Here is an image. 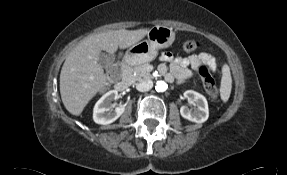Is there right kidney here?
<instances>
[{"mask_svg":"<svg viewBox=\"0 0 287 175\" xmlns=\"http://www.w3.org/2000/svg\"><path fill=\"white\" fill-rule=\"evenodd\" d=\"M118 98V91L111 90L105 93L95 104L93 120L97 124L107 125L117 120L125 111L126 105H120L111 109L112 101Z\"/></svg>","mask_w":287,"mask_h":175,"instance_id":"right-kidney-1","label":"right kidney"}]
</instances>
